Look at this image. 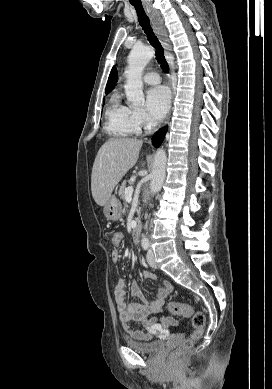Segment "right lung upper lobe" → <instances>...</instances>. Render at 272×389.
<instances>
[{"label": "right lung upper lobe", "instance_id": "1", "mask_svg": "<svg viewBox=\"0 0 272 389\" xmlns=\"http://www.w3.org/2000/svg\"><path fill=\"white\" fill-rule=\"evenodd\" d=\"M117 80H118L117 70H116V67L113 66L111 73L109 75V78H108L107 85H106V89H105L106 94H108L109 92H111L114 89V86H115V83L117 82Z\"/></svg>", "mask_w": 272, "mask_h": 389}]
</instances>
